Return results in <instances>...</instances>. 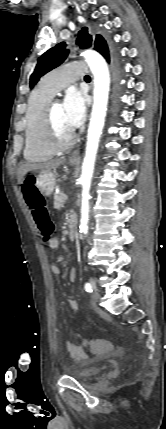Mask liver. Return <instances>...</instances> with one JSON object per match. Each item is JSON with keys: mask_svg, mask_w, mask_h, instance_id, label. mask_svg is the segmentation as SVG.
Segmentation results:
<instances>
[{"mask_svg": "<svg viewBox=\"0 0 166 429\" xmlns=\"http://www.w3.org/2000/svg\"><path fill=\"white\" fill-rule=\"evenodd\" d=\"M64 158H59L55 160H51L42 164H33V163H24L21 164L18 168L17 175L19 183L22 182L24 176L30 171H40V172H48L53 169L58 168L61 164L64 163Z\"/></svg>", "mask_w": 166, "mask_h": 429, "instance_id": "obj_1", "label": "liver"}]
</instances>
